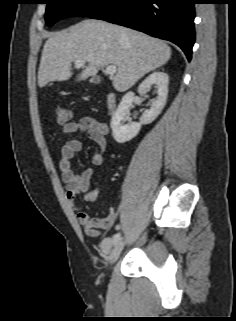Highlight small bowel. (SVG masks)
<instances>
[{"label":"small bowel","mask_w":236,"mask_h":321,"mask_svg":"<svg viewBox=\"0 0 236 321\" xmlns=\"http://www.w3.org/2000/svg\"><path fill=\"white\" fill-rule=\"evenodd\" d=\"M62 132L65 135L85 132L99 148L92 156V164L100 166L104 163L107 146L106 136L109 133L107 124L94 117L86 116L80 118L78 121H70L62 126ZM58 140L61 141L60 138ZM81 148L82 143L77 139H69L62 143L59 154V169L65 185L66 197L72 208L76 211L80 225L88 236L97 237L99 235V228L110 227L118 213L115 208H110L106 218H90L77 203L79 196L85 202H94L100 200L105 193V188L101 183L97 184L93 189H89L90 180L95 175L93 168H87L82 172H76L74 170L71 160ZM111 242V239H107L101 243V249L104 253L110 250Z\"/></svg>","instance_id":"small-bowel-1"}]
</instances>
